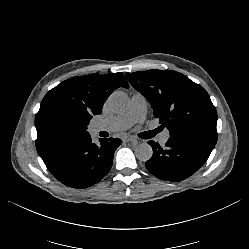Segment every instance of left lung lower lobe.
Wrapping results in <instances>:
<instances>
[{"label":"left lung lower lobe","instance_id":"obj_1","mask_svg":"<svg viewBox=\"0 0 249 249\" xmlns=\"http://www.w3.org/2000/svg\"><path fill=\"white\" fill-rule=\"evenodd\" d=\"M153 156L145 163L154 176L171 182L184 180L195 173L208 159L213 144L185 137H170L161 147L148 141Z\"/></svg>","mask_w":249,"mask_h":249}]
</instances>
